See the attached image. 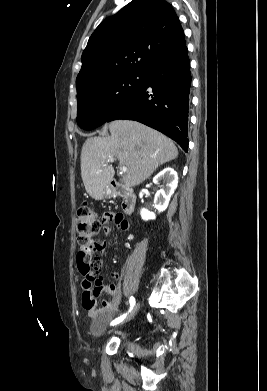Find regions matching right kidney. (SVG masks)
<instances>
[{
	"mask_svg": "<svg viewBox=\"0 0 267 391\" xmlns=\"http://www.w3.org/2000/svg\"><path fill=\"white\" fill-rule=\"evenodd\" d=\"M160 181H163L164 185L155 194L153 204L154 208L157 209L158 212H162L168 207L170 198L177 188L178 174L172 168H165L153 178L154 184H159ZM141 218L143 220L155 219V214L143 208L141 210Z\"/></svg>",
	"mask_w": 267,
	"mask_h": 391,
	"instance_id": "obj_1",
	"label": "right kidney"
}]
</instances>
